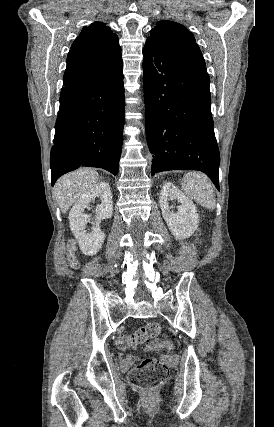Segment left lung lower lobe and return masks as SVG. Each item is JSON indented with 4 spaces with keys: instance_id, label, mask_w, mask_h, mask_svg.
<instances>
[{
    "instance_id": "1",
    "label": "left lung lower lobe",
    "mask_w": 274,
    "mask_h": 427,
    "mask_svg": "<svg viewBox=\"0 0 274 427\" xmlns=\"http://www.w3.org/2000/svg\"><path fill=\"white\" fill-rule=\"evenodd\" d=\"M143 56L146 137L153 154L151 175L199 170L220 190V155L206 67L150 40H146Z\"/></svg>"
}]
</instances>
